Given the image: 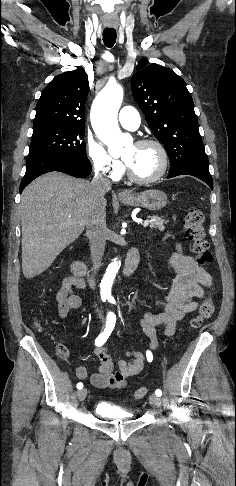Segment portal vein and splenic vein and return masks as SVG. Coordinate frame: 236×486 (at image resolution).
Masks as SVG:
<instances>
[{
  "label": "portal vein and splenic vein",
  "mask_w": 236,
  "mask_h": 486,
  "mask_svg": "<svg viewBox=\"0 0 236 486\" xmlns=\"http://www.w3.org/2000/svg\"><path fill=\"white\" fill-rule=\"evenodd\" d=\"M149 225V220H145L144 223H143V227H147Z\"/></svg>",
  "instance_id": "obj_1"
}]
</instances>
